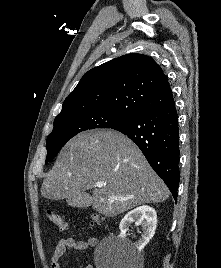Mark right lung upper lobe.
<instances>
[{
  "label": "right lung upper lobe",
  "instance_id": "cb5924a9",
  "mask_svg": "<svg viewBox=\"0 0 221 268\" xmlns=\"http://www.w3.org/2000/svg\"><path fill=\"white\" fill-rule=\"evenodd\" d=\"M174 103L167 76L150 57L127 54L89 70L62 113L106 109L133 119Z\"/></svg>",
  "mask_w": 221,
  "mask_h": 268
}]
</instances>
